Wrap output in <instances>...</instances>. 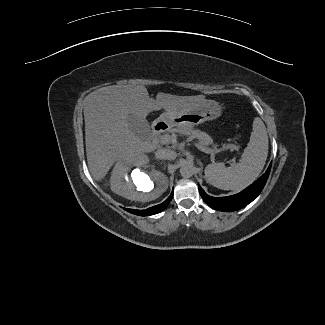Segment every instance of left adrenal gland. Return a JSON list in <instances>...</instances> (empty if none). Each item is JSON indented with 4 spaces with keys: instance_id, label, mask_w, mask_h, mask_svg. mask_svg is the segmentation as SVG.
<instances>
[{
    "instance_id": "left-adrenal-gland-1",
    "label": "left adrenal gland",
    "mask_w": 325,
    "mask_h": 325,
    "mask_svg": "<svg viewBox=\"0 0 325 325\" xmlns=\"http://www.w3.org/2000/svg\"><path fill=\"white\" fill-rule=\"evenodd\" d=\"M200 166H203L202 163L199 161Z\"/></svg>"
}]
</instances>
